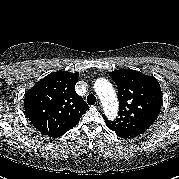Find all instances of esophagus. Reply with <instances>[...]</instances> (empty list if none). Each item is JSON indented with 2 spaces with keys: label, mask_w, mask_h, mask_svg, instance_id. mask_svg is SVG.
Instances as JSON below:
<instances>
[{
  "label": "esophagus",
  "mask_w": 179,
  "mask_h": 179,
  "mask_svg": "<svg viewBox=\"0 0 179 179\" xmlns=\"http://www.w3.org/2000/svg\"><path fill=\"white\" fill-rule=\"evenodd\" d=\"M95 107L98 108V109H101V108H102L101 102L98 101V102L95 104Z\"/></svg>",
  "instance_id": "obj_1"
}]
</instances>
